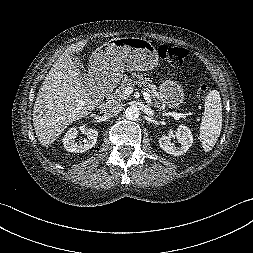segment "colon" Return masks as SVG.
I'll use <instances>...</instances> for the list:
<instances>
[{
	"instance_id": "1",
	"label": "colon",
	"mask_w": 253,
	"mask_h": 253,
	"mask_svg": "<svg viewBox=\"0 0 253 253\" xmlns=\"http://www.w3.org/2000/svg\"><path fill=\"white\" fill-rule=\"evenodd\" d=\"M159 57L167 64L172 66H179L183 63L187 51L182 47L170 46L162 44L158 48ZM210 93V88L206 84H201L198 88V96L201 99H205Z\"/></svg>"
}]
</instances>
